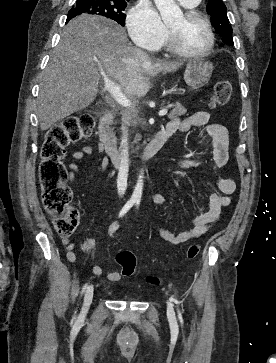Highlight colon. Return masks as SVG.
Instances as JSON below:
<instances>
[{
    "mask_svg": "<svg viewBox=\"0 0 276 363\" xmlns=\"http://www.w3.org/2000/svg\"><path fill=\"white\" fill-rule=\"evenodd\" d=\"M231 95L232 85L228 81L218 82L211 97V107L224 106ZM94 124L95 119L89 113L68 116L47 130L41 147L39 180L42 203L52 218L56 233L64 238L75 231L80 219L79 211L71 206L72 191L66 184L69 178L63 163L66 147L89 137ZM198 253L199 246L191 245L187 250V258L194 259ZM117 261L123 268V275L134 273L136 258L132 252H121L117 256ZM146 281L150 284H159V279L156 277H147Z\"/></svg>",
    "mask_w": 276,
    "mask_h": 363,
    "instance_id": "obj_1",
    "label": "colon"
}]
</instances>
